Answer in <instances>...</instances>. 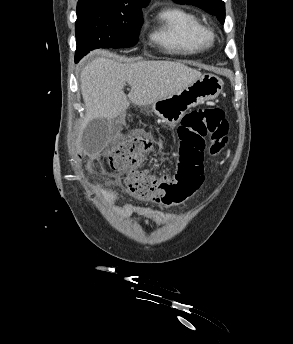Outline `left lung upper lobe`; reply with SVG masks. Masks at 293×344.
Returning a JSON list of instances; mask_svg holds the SVG:
<instances>
[{"mask_svg": "<svg viewBox=\"0 0 293 344\" xmlns=\"http://www.w3.org/2000/svg\"><path fill=\"white\" fill-rule=\"evenodd\" d=\"M181 4L194 5L217 16L222 24L225 21V4L221 0H175Z\"/></svg>", "mask_w": 293, "mask_h": 344, "instance_id": "1", "label": "left lung upper lobe"}]
</instances>
